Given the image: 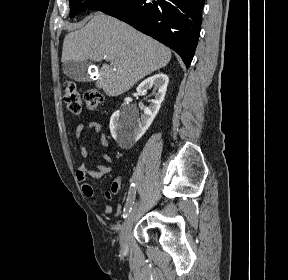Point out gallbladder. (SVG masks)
<instances>
[{
	"instance_id": "1",
	"label": "gallbladder",
	"mask_w": 288,
	"mask_h": 280,
	"mask_svg": "<svg viewBox=\"0 0 288 280\" xmlns=\"http://www.w3.org/2000/svg\"><path fill=\"white\" fill-rule=\"evenodd\" d=\"M89 62L86 61H67L63 64V73L70 79L77 82H87L89 81V76L87 73Z\"/></svg>"
}]
</instances>
